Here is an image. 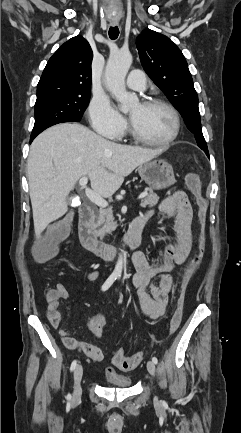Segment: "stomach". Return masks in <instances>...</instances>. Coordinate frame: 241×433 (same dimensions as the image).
<instances>
[{
  "mask_svg": "<svg viewBox=\"0 0 241 433\" xmlns=\"http://www.w3.org/2000/svg\"><path fill=\"white\" fill-rule=\"evenodd\" d=\"M140 177L151 190H160L176 182L173 166L165 160H154L139 166Z\"/></svg>",
  "mask_w": 241,
  "mask_h": 433,
  "instance_id": "0dacf381",
  "label": "stomach"
}]
</instances>
